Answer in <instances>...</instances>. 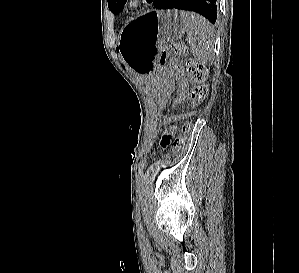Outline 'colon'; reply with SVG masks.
Returning <instances> with one entry per match:
<instances>
[{
	"label": "colon",
	"mask_w": 299,
	"mask_h": 273,
	"mask_svg": "<svg viewBox=\"0 0 299 273\" xmlns=\"http://www.w3.org/2000/svg\"><path fill=\"white\" fill-rule=\"evenodd\" d=\"M184 53L183 45L171 43L163 46L160 63L168 65L171 73L175 76L179 89L178 97L173 104L175 107L182 99L188 98L192 106L200 104L206 97L208 88L205 84L206 69L195 61L186 60L184 64L178 59V56ZM192 83V86H189ZM191 131V124L185 123L182 128V134L174 139L173 154L176 155L186 144L187 137Z\"/></svg>",
	"instance_id": "1"
}]
</instances>
